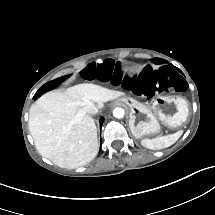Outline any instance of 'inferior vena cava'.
I'll return each mask as SVG.
<instances>
[{"label":"inferior vena cava","instance_id":"inferior-vena-cava-1","mask_svg":"<svg viewBox=\"0 0 215 215\" xmlns=\"http://www.w3.org/2000/svg\"><path fill=\"white\" fill-rule=\"evenodd\" d=\"M83 110L88 114H96L98 112V108L94 105L93 102H88V104L83 108Z\"/></svg>","mask_w":215,"mask_h":215}]
</instances>
